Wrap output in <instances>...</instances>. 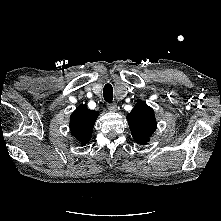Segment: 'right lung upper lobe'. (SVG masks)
Segmentation results:
<instances>
[{"label":"right lung upper lobe","instance_id":"cb5924a9","mask_svg":"<svg viewBox=\"0 0 221 221\" xmlns=\"http://www.w3.org/2000/svg\"><path fill=\"white\" fill-rule=\"evenodd\" d=\"M99 113L88 109L86 106H79L70 117V131L72 135L85 145L91 139L93 127Z\"/></svg>","mask_w":221,"mask_h":221}]
</instances>
